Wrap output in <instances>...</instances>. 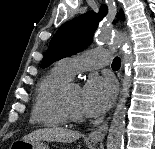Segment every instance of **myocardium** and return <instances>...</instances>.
<instances>
[{
    "label": "myocardium",
    "instance_id": "myocardium-1",
    "mask_svg": "<svg viewBox=\"0 0 155 149\" xmlns=\"http://www.w3.org/2000/svg\"><path fill=\"white\" fill-rule=\"evenodd\" d=\"M70 85H72V84L67 83L61 89L60 106H61V109H62L63 113L65 114L67 120L79 123V122L84 121L85 117L83 115L76 113L68 102L67 91H68V88L70 87Z\"/></svg>",
    "mask_w": 155,
    "mask_h": 149
}]
</instances>
